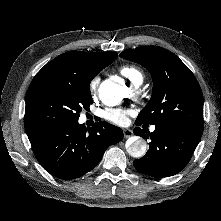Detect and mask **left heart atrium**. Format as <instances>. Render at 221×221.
Returning a JSON list of instances; mask_svg holds the SVG:
<instances>
[{
    "mask_svg": "<svg viewBox=\"0 0 221 221\" xmlns=\"http://www.w3.org/2000/svg\"><path fill=\"white\" fill-rule=\"evenodd\" d=\"M129 111L123 108H106L102 111V117L114 124L124 125L128 120Z\"/></svg>",
    "mask_w": 221,
    "mask_h": 221,
    "instance_id": "obj_1",
    "label": "left heart atrium"
}]
</instances>
